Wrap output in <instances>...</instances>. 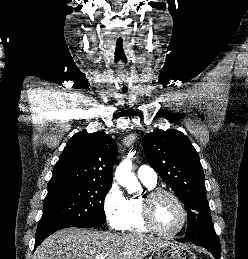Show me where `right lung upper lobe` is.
<instances>
[{
	"mask_svg": "<svg viewBox=\"0 0 248 259\" xmlns=\"http://www.w3.org/2000/svg\"><path fill=\"white\" fill-rule=\"evenodd\" d=\"M117 145L103 132L76 133L57 161L49 185L73 183H112V167Z\"/></svg>",
	"mask_w": 248,
	"mask_h": 259,
	"instance_id": "cb5924a9",
	"label": "right lung upper lobe"
}]
</instances>
